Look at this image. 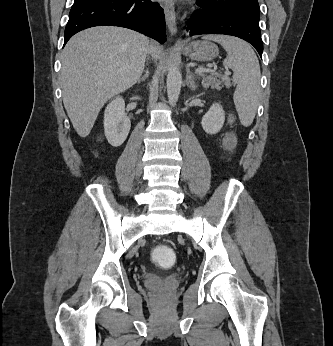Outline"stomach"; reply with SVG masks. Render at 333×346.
<instances>
[{
    "label": "stomach",
    "instance_id": "1",
    "mask_svg": "<svg viewBox=\"0 0 333 346\" xmlns=\"http://www.w3.org/2000/svg\"><path fill=\"white\" fill-rule=\"evenodd\" d=\"M183 52L195 61H211L218 56V47L207 41H193L183 47Z\"/></svg>",
    "mask_w": 333,
    "mask_h": 346
}]
</instances>
